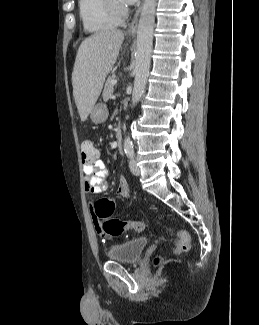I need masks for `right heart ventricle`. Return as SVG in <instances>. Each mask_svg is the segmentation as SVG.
<instances>
[{
    "label": "right heart ventricle",
    "instance_id": "e07e8e85",
    "mask_svg": "<svg viewBox=\"0 0 259 325\" xmlns=\"http://www.w3.org/2000/svg\"><path fill=\"white\" fill-rule=\"evenodd\" d=\"M78 8L82 26L88 33L103 32L119 23L110 12L107 0H79Z\"/></svg>",
    "mask_w": 259,
    "mask_h": 325
}]
</instances>
